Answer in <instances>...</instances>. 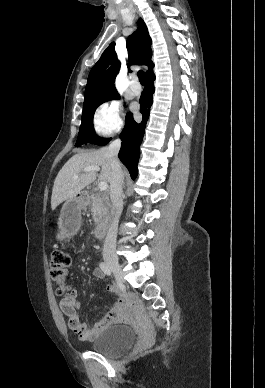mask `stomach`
Masks as SVG:
<instances>
[{
  "instance_id": "obj_1",
  "label": "stomach",
  "mask_w": 265,
  "mask_h": 388,
  "mask_svg": "<svg viewBox=\"0 0 265 388\" xmlns=\"http://www.w3.org/2000/svg\"><path fill=\"white\" fill-rule=\"evenodd\" d=\"M82 206V199L77 197L70 198L64 203L58 221L59 232L57 239L59 241L64 240L77 231L81 221Z\"/></svg>"
}]
</instances>
